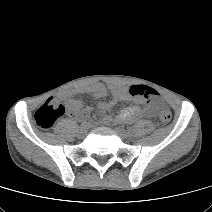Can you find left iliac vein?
I'll list each match as a JSON object with an SVG mask.
<instances>
[{
    "label": "left iliac vein",
    "instance_id": "obj_1",
    "mask_svg": "<svg viewBox=\"0 0 212 212\" xmlns=\"http://www.w3.org/2000/svg\"><path fill=\"white\" fill-rule=\"evenodd\" d=\"M115 130L122 139H129L131 137V134L122 127H117Z\"/></svg>",
    "mask_w": 212,
    "mask_h": 212
}]
</instances>
